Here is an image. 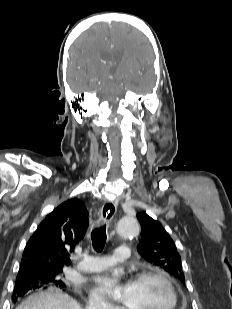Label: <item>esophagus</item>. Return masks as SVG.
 <instances>
[{
  "label": "esophagus",
  "mask_w": 232,
  "mask_h": 309,
  "mask_svg": "<svg viewBox=\"0 0 232 309\" xmlns=\"http://www.w3.org/2000/svg\"><path fill=\"white\" fill-rule=\"evenodd\" d=\"M116 213V205L112 201H107L101 210V218L110 222Z\"/></svg>",
  "instance_id": "obj_1"
}]
</instances>
